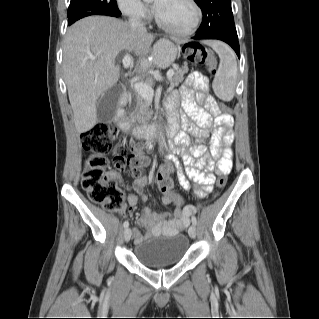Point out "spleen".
Here are the masks:
<instances>
[{
    "label": "spleen",
    "mask_w": 319,
    "mask_h": 319,
    "mask_svg": "<svg viewBox=\"0 0 319 319\" xmlns=\"http://www.w3.org/2000/svg\"><path fill=\"white\" fill-rule=\"evenodd\" d=\"M218 54L220 63L212 83L215 95L223 101H231L237 84V62L232 49L220 41H208Z\"/></svg>",
    "instance_id": "3e777b00"
}]
</instances>
